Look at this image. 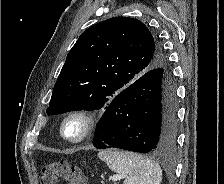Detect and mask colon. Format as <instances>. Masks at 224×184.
Returning a JSON list of instances; mask_svg holds the SVG:
<instances>
[{
    "instance_id": "colon-1",
    "label": "colon",
    "mask_w": 224,
    "mask_h": 184,
    "mask_svg": "<svg viewBox=\"0 0 224 184\" xmlns=\"http://www.w3.org/2000/svg\"><path fill=\"white\" fill-rule=\"evenodd\" d=\"M88 184L82 170L67 161L59 160L45 163L41 168V184Z\"/></svg>"
}]
</instances>
